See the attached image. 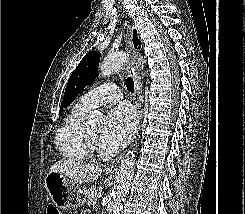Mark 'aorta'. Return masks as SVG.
<instances>
[{"instance_id":"obj_1","label":"aorta","mask_w":245,"mask_h":214,"mask_svg":"<svg viewBox=\"0 0 245 214\" xmlns=\"http://www.w3.org/2000/svg\"><path fill=\"white\" fill-rule=\"evenodd\" d=\"M128 61V56L124 52L108 55L100 65V75L102 77L109 76L113 72L122 68ZM86 121L91 125H99L101 114L98 111L90 113L86 117ZM135 153L129 151L121 162L116 184L113 189V214H120L123 209V202L129 191L135 168Z\"/></svg>"}]
</instances>
